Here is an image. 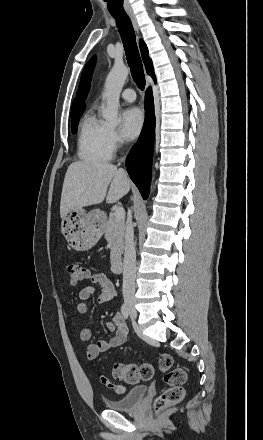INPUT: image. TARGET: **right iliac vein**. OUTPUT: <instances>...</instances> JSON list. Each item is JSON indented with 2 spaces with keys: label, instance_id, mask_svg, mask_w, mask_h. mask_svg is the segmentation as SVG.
Masks as SVG:
<instances>
[{
  "label": "right iliac vein",
  "instance_id": "1",
  "mask_svg": "<svg viewBox=\"0 0 263 440\" xmlns=\"http://www.w3.org/2000/svg\"><path fill=\"white\" fill-rule=\"evenodd\" d=\"M125 304H126L128 310H129L131 316L133 318H136L137 317V311H136V309L134 307V301L132 299H130V298H127L125 300Z\"/></svg>",
  "mask_w": 263,
  "mask_h": 440
}]
</instances>
